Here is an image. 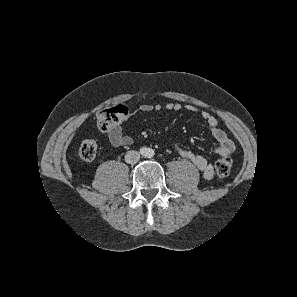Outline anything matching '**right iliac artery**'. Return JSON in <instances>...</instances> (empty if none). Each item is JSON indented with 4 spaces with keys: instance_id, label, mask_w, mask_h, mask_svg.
I'll return each mask as SVG.
<instances>
[{
    "instance_id": "obj_1",
    "label": "right iliac artery",
    "mask_w": 297,
    "mask_h": 297,
    "mask_svg": "<svg viewBox=\"0 0 297 297\" xmlns=\"http://www.w3.org/2000/svg\"><path fill=\"white\" fill-rule=\"evenodd\" d=\"M141 152H144V149H141Z\"/></svg>"
}]
</instances>
